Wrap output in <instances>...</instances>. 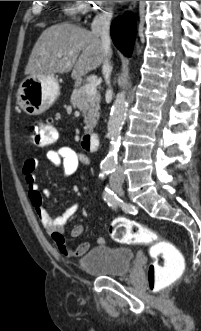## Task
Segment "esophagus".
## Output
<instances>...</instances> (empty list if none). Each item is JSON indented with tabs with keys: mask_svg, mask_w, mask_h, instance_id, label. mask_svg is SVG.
I'll return each instance as SVG.
<instances>
[{
	"mask_svg": "<svg viewBox=\"0 0 201 331\" xmlns=\"http://www.w3.org/2000/svg\"><path fill=\"white\" fill-rule=\"evenodd\" d=\"M136 6H137V1H134L133 2V8H136Z\"/></svg>",
	"mask_w": 201,
	"mask_h": 331,
	"instance_id": "obj_1",
	"label": "esophagus"
}]
</instances>
